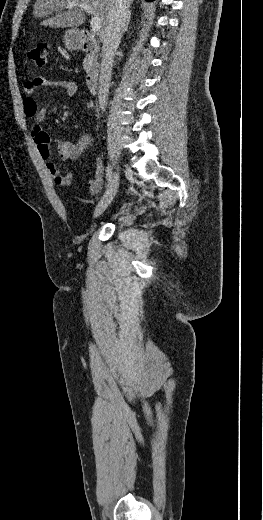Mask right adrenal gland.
<instances>
[{
  "label": "right adrenal gland",
  "instance_id": "1",
  "mask_svg": "<svg viewBox=\"0 0 263 520\" xmlns=\"http://www.w3.org/2000/svg\"><path fill=\"white\" fill-rule=\"evenodd\" d=\"M130 19H131V11H129L127 22H126V26L124 28V32L128 31V26H129V23H130Z\"/></svg>",
  "mask_w": 263,
  "mask_h": 520
}]
</instances>
